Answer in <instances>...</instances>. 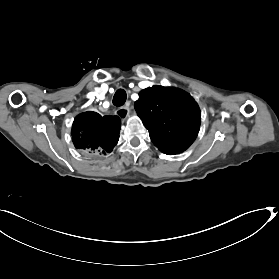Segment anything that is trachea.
<instances>
[{
    "mask_svg": "<svg viewBox=\"0 0 279 279\" xmlns=\"http://www.w3.org/2000/svg\"><path fill=\"white\" fill-rule=\"evenodd\" d=\"M127 99V94L124 89H118L113 97V104L117 107L122 106Z\"/></svg>",
    "mask_w": 279,
    "mask_h": 279,
    "instance_id": "1",
    "label": "trachea"
}]
</instances>
